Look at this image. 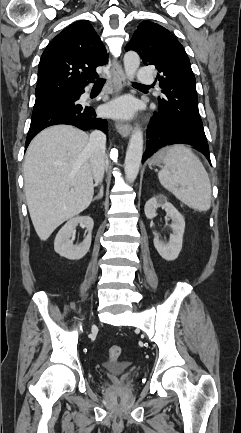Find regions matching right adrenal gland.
<instances>
[{"label": "right adrenal gland", "instance_id": "obj_1", "mask_svg": "<svg viewBox=\"0 0 241 433\" xmlns=\"http://www.w3.org/2000/svg\"><path fill=\"white\" fill-rule=\"evenodd\" d=\"M103 195H104V189L103 186L101 185L99 189V193L97 194V196L93 198V200H99L103 197Z\"/></svg>", "mask_w": 241, "mask_h": 433}]
</instances>
